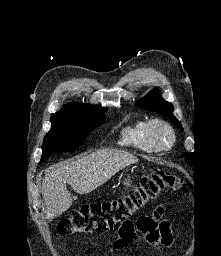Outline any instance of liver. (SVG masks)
Returning a JSON list of instances; mask_svg holds the SVG:
<instances>
[{
  "label": "liver",
  "instance_id": "6515ba94",
  "mask_svg": "<svg viewBox=\"0 0 221 256\" xmlns=\"http://www.w3.org/2000/svg\"><path fill=\"white\" fill-rule=\"evenodd\" d=\"M138 158L128 152L102 149L74 161L63 162L46 170L42 181V195L47 217L54 218L72 205L66 183L81 195L88 194L107 182L123 168L135 164Z\"/></svg>",
  "mask_w": 221,
  "mask_h": 256
}]
</instances>
